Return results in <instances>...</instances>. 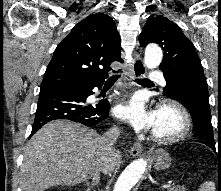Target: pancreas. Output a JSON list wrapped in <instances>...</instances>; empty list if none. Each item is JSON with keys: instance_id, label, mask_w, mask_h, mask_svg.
I'll use <instances>...</instances> for the list:
<instances>
[{"instance_id": "1", "label": "pancreas", "mask_w": 221, "mask_h": 191, "mask_svg": "<svg viewBox=\"0 0 221 191\" xmlns=\"http://www.w3.org/2000/svg\"><path fill=\"white\" fill-rule=\"evenodd\" d=\"M167 191H184V189L183 188L170 187V188H167Z\"/></svg>"}]
</instances>
